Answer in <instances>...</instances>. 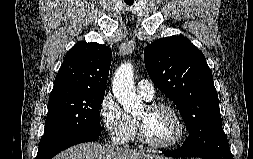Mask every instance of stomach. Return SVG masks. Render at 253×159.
I'll return each mask as SVG.
<instances>
[{
    "mask_svg": "<svg viewBox=\"0 0 253 159\" xmlns=\"http://www.w3.org/2000/svg\"><path fill=\"white\" fill-rule=\"evenodd\" d=\"M146 159H162V158L153 157V158H146Z\"/></svg>",
    "mask_w": 253,
    "mask_h": 159,
    "instance_id": "obj_1",
    "label": "stomach"
}]
</instances>
